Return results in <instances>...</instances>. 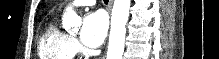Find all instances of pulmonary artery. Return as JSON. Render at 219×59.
Wrapping results in <instances>:
<instances>
[{"label": "pulmonary artery", "instance_id": "obj_1", "mask_svg": "<svg viewBox=\"0 0 219 59\" xmlns=\"http://www.w3.org/2000/svg\"><path fill=\"white\" fill-rule=\"evenodd\" d=\"M94 3H95L94 0H77V1L70 2L69 6L77 7V6H82V5H92Z\"/></svg>", "mask_w": 219, "mask_h": 59}]
</instances>
